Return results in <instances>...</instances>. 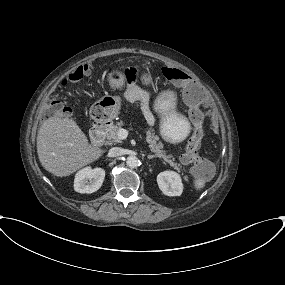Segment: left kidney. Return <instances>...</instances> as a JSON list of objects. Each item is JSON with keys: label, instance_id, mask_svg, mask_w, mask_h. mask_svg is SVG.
I'll return each mask as SVG.
<instances>
[{"label": "left kidney", "instance_id": "obj_1", "mask_svg": "<svg viewBox=\"0 0 285 285\" xmlns=\"http://www.w3.org/2000/svg\"><path fill=\"white\" fill-rule=\"evenodd\" d=\"M157 183L160 190L167 196H180L183 192L181 177L174 171L159 173Z\"/></svg>", "mask_w": 285, "mask_h": 285}]
</instances>
